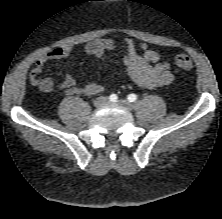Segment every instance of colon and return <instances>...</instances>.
I'll return each instance as SVG.
<instances>
[{
    "mask_svg": "<svg viewBox=\"0 0 222 219\" xmlns=\"http://www.w3.org/2000/svg\"><path fill=\"white\" fill-rule=\"evenodd\" d=\"M176 66L184 71H192L194 69L191 58L183 53L176 54L174 57Z\"/></svg>",
    "mask_w": 222,
    "mask_h": 219,
    "instance_id": "colon-1",
    "label": "colon"
}]
</instances>
